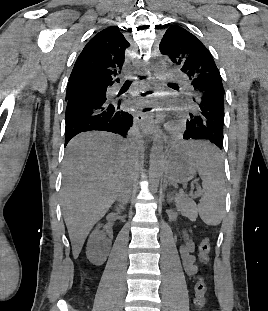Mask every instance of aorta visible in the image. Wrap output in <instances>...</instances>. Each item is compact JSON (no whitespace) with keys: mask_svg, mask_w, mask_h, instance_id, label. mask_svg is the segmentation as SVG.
I'll return each mask as SVG.
<instances>
[{"mask_svg":"<svg viewBox=\"0 0 268 311\" xmlns=\"http://www.w3.org/2000/svg\"><path fill=\"white\" fill-rule=\"evenodd\" d=\"M153 72L155 73V91L159 92V96L156 97V110H157V128H164V100L162 97V88L163 83H166V79H168L169 70L166 65H153ZM165 141L166 137L161 130H158L155 133L153 139V145L151 148L150 155V167H149V180L150 187L153 193L157 192L160 177L162 174V160L165 156Z\"/></svg>","mask_w":268,"mask_h":311,"instance_id":"aorta-1","label":"aorta"}]
</instances>
